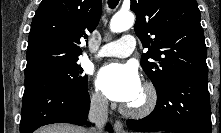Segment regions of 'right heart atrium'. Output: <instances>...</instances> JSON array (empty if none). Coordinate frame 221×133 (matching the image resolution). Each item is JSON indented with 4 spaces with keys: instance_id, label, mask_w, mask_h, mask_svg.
<instances>
[{
    "instance_id": "right-heart-atrium-1",
    "label": "right heart atrium",
    "mask_w": 221,
    "mask_h": 133,
    "mask_svg": "<svg viewBox=\"0 0 221 133\" xmlns=\"http://www.w3.org/2000/svg\"><path fill=\"white\" fill-rule=\"evenodd\" d=\"M90 104L95 110L104 111L107 107V100L101 92L93 89L90 92Z\"/></svg>"
}]
</instances>
